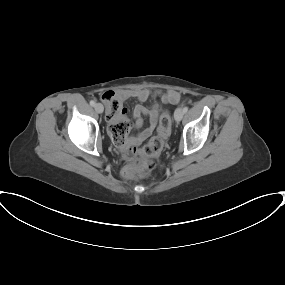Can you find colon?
<instances>
[{"label": "colon", "instance_id": "5ec220e1", "mask_svg": "<svg viewBox=\"0 0 285 285\" xmlns=\"http://www.w3.org/2000/svg\"><path fill=\"white\" fill-rule=\"evenodd\" d=\"M103 101L106 103L107 110L112 114H117L120 111V101L115 99L111 94H105ZM171 117L168 113L161 116L157 134L152 137L143 148H132L130 152L138 159L124 171L125 175L130 178L147 177L153 170L155 163L152 157L158 155L163 147L166 137L170 134ZM109 131L113 141L122 146L125 144L130 131V125L127 121H119L109 125Z\"/></svg>", "mask_w": 285, "mask_h": 285}]
</instances>
